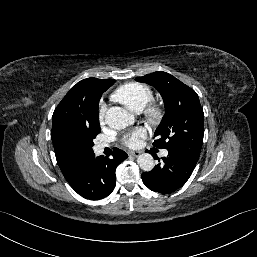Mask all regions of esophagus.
Returning <instances> with one entry per match:
<instances>
[{
    "label": "esophagus",
    "mask_w": 257,
    "mask_h": 257,
    "mask_svg": "<svg viewBox=\"0 0 257 257\" xmlns=\"http://www.w3.org/2000/svg\"><path fill=\"white\" fill-rule=\"evenodd\" d=\"M140 154H141L140 151H131V152H129V155L133 156V157H138Z\"/></svg>",
    "instance_id": "esophagus-1"
}]
</instances>
